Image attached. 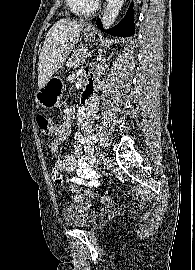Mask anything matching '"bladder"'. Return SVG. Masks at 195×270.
I'll use <instances>...</instances> for the list:
<instances>
[{"instance_id":"1","label":"bladder","mask_w":195,"mask_h":270,"mask_svg":"<svg viewBox=\"0 0 195 270\" xmlns=\"http://www.w3.org/2000/svg\"><path fill=\"white\" fill-rule=\"evenodd\" d=\"M98 212L85 204L68 206L63 210L65 223L72 228L88 229L98 220Z\"/></svg>"}]
</instances>
